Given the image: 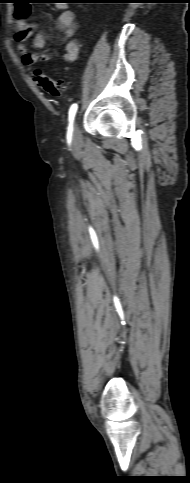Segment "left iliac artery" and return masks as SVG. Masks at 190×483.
I'll return each instance as SVG.
<instances>
[{"label": "left iliac artery", "mask_w": 190, "mask_h": 483, "mask_svg": "<svg viewBox=\"0 0 190 483\" xmlns=\"http://www.w3.org/2000/svg\"><path fill=\"white\" fill-rule=\"evenodd\" d=\"M77 108H78V106L75 103V104H72L70 109H69V126H68V133H67L68 137H70L71 134H72L73 120H74L75 114L77 112Z\"/></svg>", "instance_id": "obj_1"}]
</instances>
